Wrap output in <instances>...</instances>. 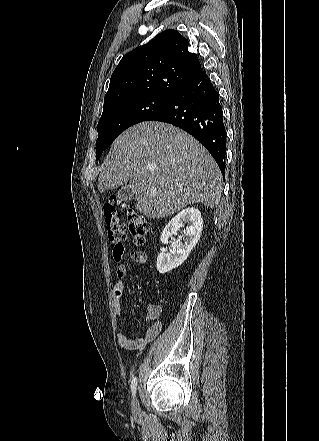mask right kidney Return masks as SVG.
I'll return each mask as SVG.
<instances>
[{
	"label": "right kidney",
	"instance_id": "obj_1",
	"mask_svg": "<svg viewBox=\"0 0 319 441\" xmlns=\"http://www.w3.org/2000/svg\"><path fill=\"white\" fill-rule=\"evenodd\" d=\"M185 225L186 228L183 230V233L186 238L184 241L181 242V239H179L172 242V250L170 253L161 252L158 255L156 266L159 273L164 274L177 268L188 258L190 252L200 239L203 228L201 212L193 207L179 212L165 226L160 241L163 244H168L169 238L176 234L178 230L185 227Z\"/></svg>",
	"mask_w": 319,
	"mask_h": 441
}]
</instances>
